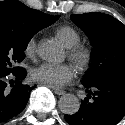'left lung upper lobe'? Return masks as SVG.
Instances as JSON below:
<instances>
[{"label": "left lung upper lobe", "mask_w": 125, "mask_h": 125, "mask_svg": "<svg viewBox=\"0 0 125 125\" xmlns=\"http://www.w3.org/2000/svg\"><path fill=\"white\" fill-rule=\"evenodd\" d=\"M72 21L89 37L93 61L82 84L106 78H125V25L102 13L72 14Z\"/></svg>", "instance_id": "5c2ea615"}]
</instances>
